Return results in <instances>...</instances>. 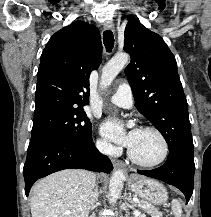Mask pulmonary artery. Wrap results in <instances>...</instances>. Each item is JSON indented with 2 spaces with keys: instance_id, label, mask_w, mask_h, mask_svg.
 I'll list each match as a JSON object with an SVG mask.
<instances>
[{
  "instance_id": "pulmonary-artery-1",
  "label": "pulmonary artery",
  "mask_w": 211,
  "mask_h": 217,
  "mask_svg": "<svg viewBox=\"0 0 211 217\" xmlns=\"http://www.w3.org/2000/svg\"><path fill=\"white\" fill-rule=\"evenodd\" d=\"M110 102L118 107L130 109L133 105V95L128 83H121L111 96Z\"/></svg>"
}]
</instances>
